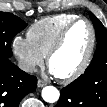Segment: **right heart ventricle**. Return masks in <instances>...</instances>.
<instances>
[{
    "label": "right heart ventricle",
    "instance_id": "right-heart-ventricle-1",
    "mask_svg": "<svg viewBox=\"0 0 107 107\" xmlns=\"http://www.w3.org/2000/svg\"><path fill=\"white\" fill-rule=\"evenodd\" d=\"M76 18L75 14H57L41 18L29 27L27 37L46 56L62 29Z\"/></svg>",
    "mask_w": 107,
    "mask_h": 107
}]
</instances>
